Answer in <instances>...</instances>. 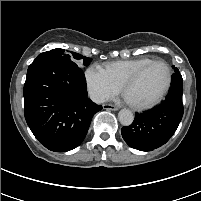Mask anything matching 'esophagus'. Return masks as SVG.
<instances>
[{"mask_svg":"<svg viewBox=\"0 0 201 201\" xmlns=\"http://www.w3.org/2000/svg\"><path fill=\"white\" fill-rule=\"evenodd\" d=\"M103 109L117 111L119 108L115 105H112V104H104Z\"/></svg>","mask_w":201,"mask_h":201,"instance_id":"34e87169","label":"esophagus"}]
</instances>
